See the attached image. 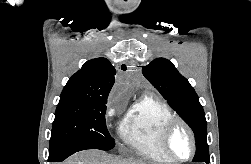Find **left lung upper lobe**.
<instances>
[{"label":"left lung upper lobe","instance_id":"1","mask_svg":"<svg viewBox=\"0 0 251 164\" xmlns=\"http://www.w3.org/2000/svg\"><path fill=\"white\" fill-rule=\"evenodd\" d=\"M143 75L161 93L174 110L192 127L196 136L193 162L209 164L207 123L203 107L194 89L167 59L157 58L143 67Z\"/></svg>","mask_w":251,"mask_h":164}]
</instances>
